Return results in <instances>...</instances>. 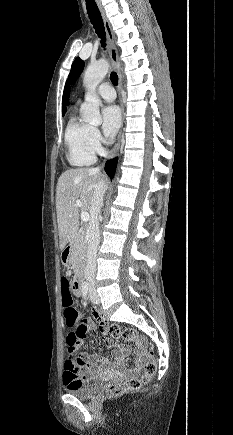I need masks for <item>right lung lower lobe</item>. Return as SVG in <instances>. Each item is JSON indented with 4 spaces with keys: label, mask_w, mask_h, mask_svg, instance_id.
Instances as JSON below:
<instances>
[{
    "label": "right lung lower lobe",
    "mask_w": 233,
    "mask_h": 435,
    "mask_svg": "<svg viewBox=\"0 0 233 435\" xmlns=\"http://www.w3.org/2000/svg\"><path fill=\"white\" fill-rule=\"evenodd\" d=\"M118 158H114L112 160H109L105 164V171L108 174V176L112 179L116 170Z\"/></svg>",
    "instance_id": "98d812e1"
}]
</instances>
